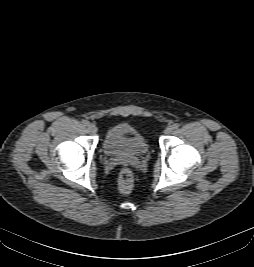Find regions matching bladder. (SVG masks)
<instances>
[{"label":"bladder","mask_w":254,"mask_h":267,"mask_svg":"<svg viewBox=\"0 0 254 267\" xmlns=\"http://www.w3.org/2000/svg\"><path fill=\"white\" fill-rule=\"evenodd\" d=\"M102 147L108 156L139 157L148 151L145 137L128 123H119L109 128Z\"/></svg>","instance_id":"bladder-1"}]
</instances>
